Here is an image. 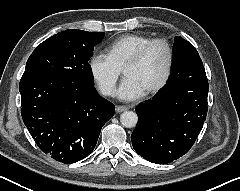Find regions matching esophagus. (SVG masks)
Listing matches in <instances>:
<instances>
[{
  "label": "esophagus",
  "instance_id": "1",
  "mask_svg": "<svg viewBox=\"0 0 240 191\" xmlns=\"http://www.w3.org/2000/svg\"><path fill=\"white\" fill-rule=\"evenodd\" d=\"M116 112L121 113L127 110L126 106H116L115 107Z\"/></svg>",
  "mask_w": 240,
  "mask_h": 191
}]
</instances>
